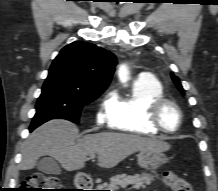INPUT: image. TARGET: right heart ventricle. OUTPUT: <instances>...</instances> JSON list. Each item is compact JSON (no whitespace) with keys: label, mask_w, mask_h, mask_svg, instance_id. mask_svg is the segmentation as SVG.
I'll list each match as a JSON object with an SVG mask.
<instances>
[{"label":"right heart ventricle","mask_w":218,"mask_h":191,"mask_svg":"<svg viewBox=\"0 0 218 191\" xmlns=\"http://www.w3.org/2000/svg\"><path fill=\"white\" fill-rule=\"evenodd\" d=\"M164 97L162 84L155 78L137 79L131 93L118 98L117 106L109 121L111 128L137 135L153 136L159 133L148 121L150 105Z\"/></svg>","instance_id":"obj_1"}]
</instances>
